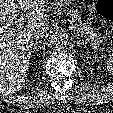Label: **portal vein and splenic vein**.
Returning a JSON list of instances; mask_svg holds the SVG:
<instances>
[{
  "instance_id": "18ae733b",
  "label": "portal vein and splenic vein",
  "mask_w": 113,
  "mask_h": 113,
  "mask_svg": "<svg viewBox=\"0 0 113 113\" xmlns=\"http://www.w3.org/2000/svg\"><path fill=\"white\" fill-rule=\"evenodd\" d=\"M24 22H25V18L20 17V18L16 21L15 25H16L18 28H21V27H23Z\"/></svg>"
}]
</instances>
